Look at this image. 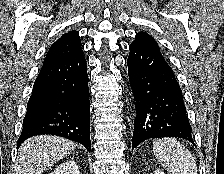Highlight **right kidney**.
I'll return each mask as SVG.
<instances>
[{
    "mask_svg": "<svg viewBox=\"0 0 224 174\" xmlns=\"http://www.w3.org/2000/svg\"><path fill=\"white\" fill-rule=\"evenodd\" d=\"M49 174H80V171L77 164L72 159L60 164Z\"/></svg>",
    "mask_w": 224,
    "mask_h": 174,
    "instance_id": "1",
    "label": "right kidney"
}]
</instances>
